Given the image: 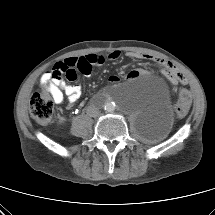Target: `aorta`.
Here are the masks:
<instances>
[{
  "instance_id": "aorta-1",
  "label": "aorta",
  "mask_w": 215,
  "mask_h": 215,
  "mask_svg": "<svg viewBox=\"0 0 215 215\" xmlns=\"http://www.w3.org/2000/svg\"><path fill=\"white\" fill-rule=\"evenodd\" d=\"M120 94H121V89H120V87H116V88L113 89V97H114V98L121 99V98H122V95H120ZM104 110H105L106 112H109V113L113 112V111L115 110V103H114V102H111V101L107 102V103L104 105Z\"/></svg>"
}]
</instances>
